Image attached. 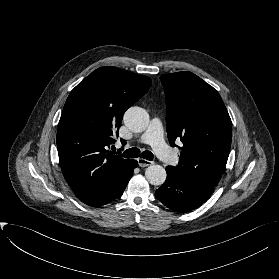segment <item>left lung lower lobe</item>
Instances as JSON below:
<instances>
[{
  "label": "left lung lower lobe",
  "mask_w": 279,
  "mask_h": 279,
  "mask_svg": "<svg viewBox=\"0 0 279 279\" xmlns=\"http://www.w3.org/2000/svg\"><path fill=\"white\" fill-rule=\"evenodd\" d=\"M166 172V181L156 190L155 196L174 211H191L202 205L213 192L195 181L183 178L172 166H167Z\"/></svg>",
  "instance_id": "1"
}]
</instances>
